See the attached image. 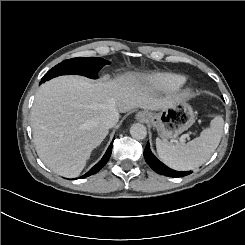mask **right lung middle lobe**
Listing matches in <instances>:
<instances>
[{
  "label": "right lung middle lobe",
  "instance_id": "1",
  "mask_svg": "<svg viewBox=\"0 0 245 245\" xmlns=\"http://www.w3.org/2000/svg\"><path fill=\"white\" fill-rule=\"evenodd\" d=\"M106 64H109L107 60L98 57L72 58L53 67L43 76L41 81L45 82L53 77L67 74H80L95 79L99 69Z\"/></svg>",
  "mask_w": 245,
  "mask_h": 245
}]
</instances>
